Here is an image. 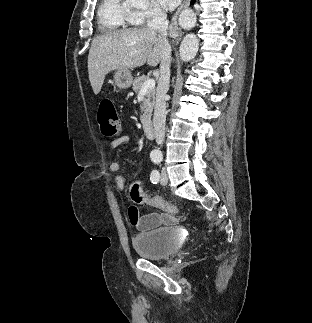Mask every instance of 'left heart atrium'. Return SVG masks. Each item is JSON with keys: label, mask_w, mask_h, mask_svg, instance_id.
<instances>
[{"label": "left heart atrium", "mask_w": 312, "mask_h": 323, "mask_svg": "<svg viewBox=\"0 0 312 323\" xmlns=\"http://www.w3.org/2000/svg\"><path fill=\"white\" fill-rule=\"evenodd\" d=\"M183 2L184 0H157V4H160L163 12H176Z\"/></svg>", "instance_id": "1"}]
</instances>
